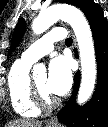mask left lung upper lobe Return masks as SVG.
Listing matches in <instances>:
<instances>
[{
  "mask_svg": "<svg viewBox=\"0 0 108 127\" xmlns=\"http://www.w3.org/2000/svg\"><path fill=\"white\" fill-rule=\"evenodd\" d=\"M59 2H64V3H68V4H71V5H74L76 7H79L80 4L84 1V0H58ZM25 21L23 18H20L16 27H15V30H14V33L12 35V40H11V52L14 51V49L18 46L21 38L23 37L24 35V32H25Z\"/></svg>",
  "mask_w": 108,
  "mask_h": 127,
  "instance_id": "1",
  "label": "left lung upper lobe"
}]
</instances>
